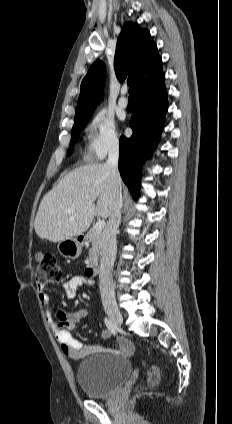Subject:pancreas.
Returning <instances> with one entry per match:
<instances>
[{"label": "pancreas", "instance_id": "pancreas-1", "mask_svg": "<svg viewBox=\"0 0 232 424\" xmlns=\"http://www.w3.org/2000/svg\"><path fill=\"white\" fill-rule=\"evenodd\" d=\"M92 247L89 250V261L94 262L98 259V254L102 247V231H98L95 227H92L87 234Z\"/></svg>", "mask_w": 232, "mask_h": 424}]
</instances>
